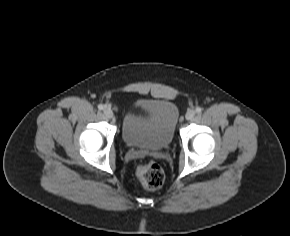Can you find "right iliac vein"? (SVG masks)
<instances>
[{
	"label": "right iliac vein",
	"mask_w": 290,
	"mask_h": 236,
	"mask_svg": "<svg viewBox=\"0 0 290 236\" xmlns=\"http://www.w3.org/2000/svg\"><path fill=\"white\" fill-rule=\"evenodd\" d=\"M103 113H104L105 117H107V118H109V119L113 117V112H112V110H111L110 108H108V107H105V108L103 109Z\"/></svg>",
	"instance_id": "63e3f726"
}]
</instances>
